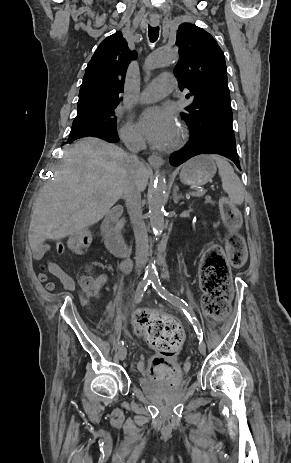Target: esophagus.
<instances>
[{
	"label": "esophagus",
	"mask_w": 291,
	"mask_h": 463,
	"mask_svg": "<svg viewBox=\"0 0 291 463\" xmlns=\"http://www.w3.org/2000/svg\"><path fill=\"white\" fill-rule=\"evenodd\" d=\"M151 24L156 26L159 24V18L158 17H152L150 19ZM148 162L152 167H160L163 164V159L160 155L158 154H152L148 157Z\"/></svg>",
	"instance_id": "34e87169"
}]
</instances>
